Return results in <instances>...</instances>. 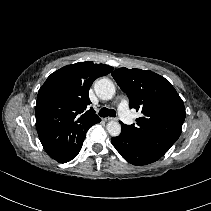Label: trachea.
<instances>
[{
	"mask_svg": "<svg viewBox=\"0 0 211 211\" xmlns=\"http://www.w3.org/2000/svg\"><path fill=\"white\" fill-rule=\"evenodd\" d=\"M99 116L101 117H115L116 116V111L114 109H108L106 107H103L100 111H99Z\"/></svg>",
	"mask_w": 211,
	"mask_h": 211,
	"instance_id": "trachea-1",
	"label": "trachea"
}]
</instances>
